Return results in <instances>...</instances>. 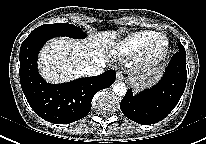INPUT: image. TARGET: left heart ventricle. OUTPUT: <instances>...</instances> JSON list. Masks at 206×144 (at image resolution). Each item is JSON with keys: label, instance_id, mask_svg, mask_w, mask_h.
<instances>
[{"label": "left heart ventricle", "instance_id": "1", "mask_svg": "<svg viewBox=\"0 0 206 144\" xmlns=\"http://www.w3.org/2000/svg\"><path fill=\"white\" fill-rule=\"evenodd\" d=\"M164 45H165L164 40H159L154 46V51L155 52L161 51L164 48Z\"/></svg>", "mask_w": 206, "mask_h": 144}]
</instances>
